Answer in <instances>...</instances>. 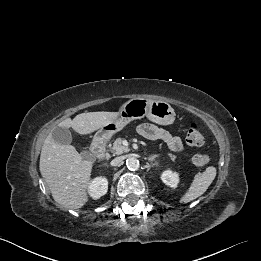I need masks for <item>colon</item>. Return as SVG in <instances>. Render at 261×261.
<instances>
[{"instance_id": "colon-1", "label": "colon", "mask_w": 261, "mask_h": 261, "mask_svg": "<svg viewBox=\"0 0 261 261\" xmlns=\"http://www.w3.org/2000/svg\"><path fill=\"white\" fill-rule=\"evenodd\" d=\"M186 140L192 146H200L204 143V136L198 124L192 123L189 126L186 133ZM192 161L196 166H203L208 163L209 156L205 153H196L193 155Z\"/></svg>"}]
</instances>
